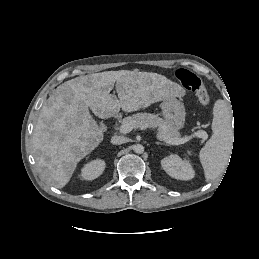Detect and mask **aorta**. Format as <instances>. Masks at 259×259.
<instances>
[{
  "label": "aorta",
  "instance_id": "1",
  "mask_svg": "<svg viewBox=\"0 0 259 259\" xmlns=\"http://www.w3.org/2000/svg\"><path fill=\"white\" fill-rule=\"evenodd\" d=\"M133 150H134V152L137 153V154H142V153L144 152V146L141 145V144H135V145L133 146Z\"/></svg>",
  "mask_w": 259,
  "mask_h": 259
}]
</instances>
